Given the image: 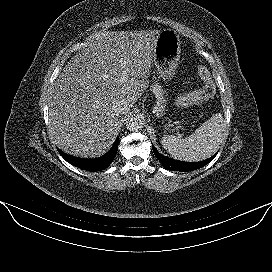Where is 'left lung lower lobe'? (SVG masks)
I'll use <instances>...</instances> for the list:
<instances>
[{"label":"left lung lower lobe","instance_id":"obj_1","mask_svg":"<svg viewBox=\"0 0 272 272\" xmlns=\"http://www.w3.org/2000/svg\"><path fill=\"white\" fill-rule=\"evenodd\" d=\"M153 147V146H152ZM153 152L159 162L163 165V167L167 170H172V171H180V172H188V171H193L197 170L205 165H207L209 162H211L216 154L212 156L211 158L201 161V162H195V163H190V162H182V161H177L171 158H168L166 156L161 155L154 147H153Z\"/></svg>","mask_w":272,"mask_h":272}]
</instances>
